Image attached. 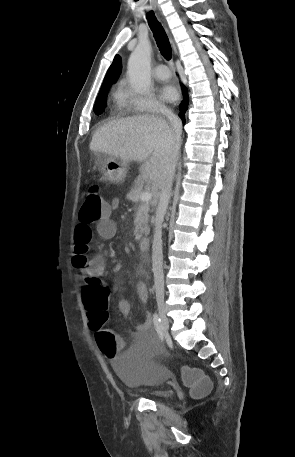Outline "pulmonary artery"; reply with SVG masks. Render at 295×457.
Here are the masks:
<instances>
[{
    "label": "pulmonary artery",
    "instance_id": "1",
    "mask_svg": "<svg viewBox=\"0 0 295 457\" xmlns=\"http://www.w3.org/2000/svg\"><path fill=\"white\" fill-rule=\"evenodd\" d=\"M154 76L158 79V80H167L170 78V71L169 69L167 68V66L163 65V64H160V65H157L154 69Z\"/></svg>",
    "mask_w": 295,
    "mask_h": 457
}]
</instances>
